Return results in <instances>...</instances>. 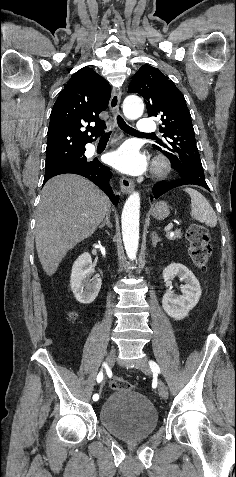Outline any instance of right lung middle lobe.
I'll return each mask as SVG.
<instances>
[{"label":"right lung middle lobe","mask_w":236,"mask_h":477,"mask_svg":"<svg viewBox=\"0 0 236 477\" xmlns=\"http://www.w3.org/2000/svg\"><path fill=\"white\" fill-rule=\"evenodd\" d=\"M86 157L84 156V152H79L71 157H68L62 161H59L54 166L53 165H46V169L57 167V166H65L70 164H82L86 163Z\"/></svg>","instance_id":"obj_1"}]
</instances>
